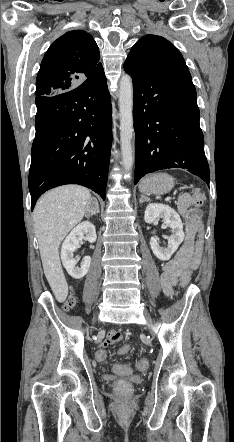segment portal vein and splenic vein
<instances>
[{"instance_id": "portal-vein-and-splenic-vein-1", "label": "portal vein and splenic vein", "mask_w": 234, "mask_h": 442, "mask_svg": "<svg viewBox=\"0 0 234 442\" xmlns=\"http://www.w3.org/2000/svg\"><path fill=\"white\" fill-rule=\"evenodd\" d=\"M172 199V197H167L165 200L166 201H169V200H171Z\"/></svg>"}]
</instances>
